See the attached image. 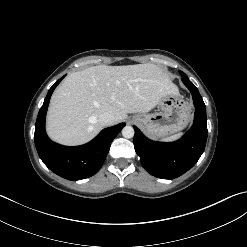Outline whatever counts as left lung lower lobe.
Masks as SVG:
<instances>
[{"label":"left lung lower lobe","mask_w":247,"mask_h":247,"mask_svg":"<svg viewBox=\"0 0 247 247\" xmlns=\"http://www.w3.org/2000/svg\"><path fill=\"white\" fill-rule=\"evenodd\" d=\"M181 75L195 105L191 129L181 139L164 143L149 140L134 126V147L143 167L151 175L162 179L177 178L192 168L202 155L207 141L205 104L198 89L187 79V75L183 72Z\"/></svg>","instance_id":"left-lung-lower-lobe-1"}]
</instances>
